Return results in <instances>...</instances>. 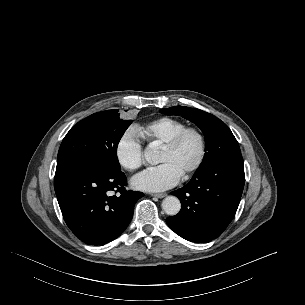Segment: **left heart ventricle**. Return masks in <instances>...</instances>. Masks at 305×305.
<instances>
[{
    "label": "left heart ventricle",
    "instance_id": "b2bd125f",
    "mask_svg": "<svg viewBox=\"0 0 305 305\" xmlns=\"http://www.w3.org/2000/svg\"><path fill=\"white\" fill-rule=\"evenodd\" d=\"M199 155V141L195 135L186 136L172 151L161 150L159 163H171L181 174H185L196 162Z\"/></svg>",
    "mask_w": 305,
    "mask_h": 305
}]
</instances>
